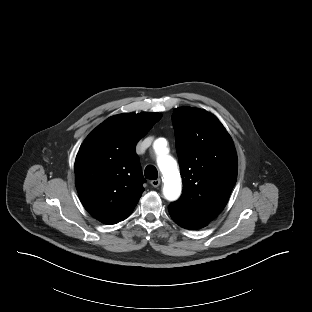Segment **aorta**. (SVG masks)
<instances>
[{"mask_svg":"<svg viewBox=\"0 0 312 312\" xmlns=\"http://www.w3.org/2000/svg\"><path fill=\"white\" fill-rule=\"evenodd\" d=\"M163 141L158 139L154 143V148L158 152L157 164L164 177V195L170 200H176L181 193V179L176 161L168 155H163Z\"/></svg>","mask_w":312,"mask_h":312,"instance_id":"obj_1","label":"aorta"}]
</instances>
